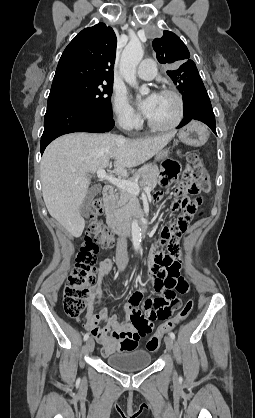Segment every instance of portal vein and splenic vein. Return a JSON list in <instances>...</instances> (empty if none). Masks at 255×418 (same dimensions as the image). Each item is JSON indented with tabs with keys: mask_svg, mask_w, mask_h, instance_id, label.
<instances>
[{
	"mask_svg": "<svg viewBox=\"0 0 255 418\" xmlns=\"http://www.w3.org/2000/svg\"><path fill=\"white\" fill-rule=\"evenodd\" d=\"M97 176L99 179H103V180H107L108 182L112 183L113 185H115L116 187H118L119 189H124L127 190L130 193L133 194H139L140 193V186L138 185L137 182L131 181V180H125V179H120V178H116L112 175H108L104 169H99L97 171ZM143 190L146 193H150L151 189L149 187H144Z\"/></svg>",
	"mask_w": 255,
	"mask_h": 418,
	"instance_id": "portal-vein-and-splenic-vein-1",
	"label": "portal vein and splenic vein"
}]
</instances>
